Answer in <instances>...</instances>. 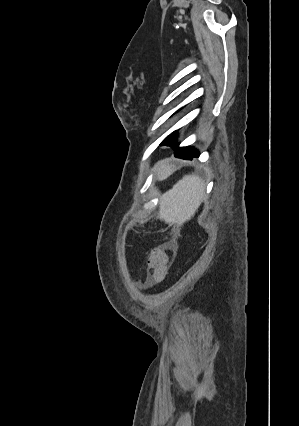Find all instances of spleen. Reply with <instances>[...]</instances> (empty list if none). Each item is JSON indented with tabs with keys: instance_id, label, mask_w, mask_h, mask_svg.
<instances>
[{
	"instance_id": "obj_1",
	"label": "spleen",
	"mask_w": 299,
	"mask_h": 426,
	"mask_svg": "<svg viewBox=\"0 0 299 426\" xmlns=\"http://www.w3.org/2000/svg\"><path fill=\"white\" fill-rule=\"evenodd\" d=\"M204 195V181L198 175H185L160 202L159 218L172 225L191 219Z\"/></svg>"
}]
</instances>
